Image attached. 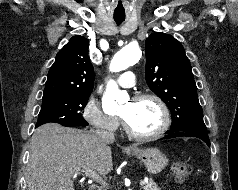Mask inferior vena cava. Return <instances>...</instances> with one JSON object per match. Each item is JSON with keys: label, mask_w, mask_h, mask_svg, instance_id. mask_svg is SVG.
Masks as SVG:
<instances>
[{"label": "inferior vena cava", "mask_w": 238, "mask_h": 190, "mask_svg": "<svg viewBox=\"0 0 238 190\" xmlns=\"http://www.w3.org/2000/svg\"><path fill=\"white\" fill-rule=\"evenodd\" d=\"M94 134L103 142H113L114 134L109 131L95 130Z\"/></svg>", "instance_id": "1"}]
</instances>
